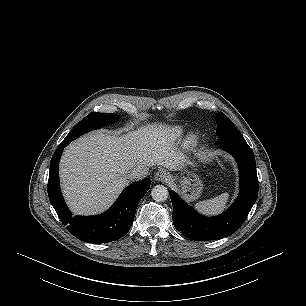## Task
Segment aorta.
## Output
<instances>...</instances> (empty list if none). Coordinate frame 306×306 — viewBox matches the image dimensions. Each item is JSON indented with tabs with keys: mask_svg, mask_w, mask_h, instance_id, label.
<instances>
[{
	"mask_svg": "<svg viewBox=\"0 0 306 306\" xmlns=\"http://www.w3.org/2000/svg\"><path fill=\"white\" fill-rule=\"evenodd\" d=\"M168 195H169V192L167 188L163 185H156L155 187H153L151 191V196L153 200L156 202H163L167 200Z\"/></svg>",
	"mask_w": 306,
	"mask_h": 306,
	"instance_id": "obj_1",
	"label": "aorta"
}]
</instances>
